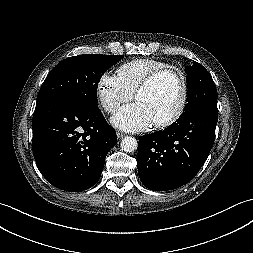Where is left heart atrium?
<instances>
[{
    "instance_id": "1",
    "label": "left heart atrium",
    "mask_w": 253,
    "mask_h": 253,
    "mask_svg": "<svg viewBox=\"0 0 253 253\" xmlns=\"http://www.w3.org/2000/svg\"><path fill=\"white\" fill-rule=\"evenodd\" d=\"M112 123L125 131L137 132L153 123L148 109L141 103H133L121 108L112 118Z\"/></svg>"
}]
</instances>
